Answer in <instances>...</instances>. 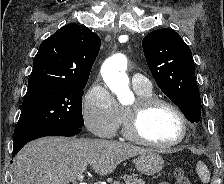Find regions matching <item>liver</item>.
<instances>
[{
  "instance_id": "obj_1",
  "label": "liver",
  "mask_w": 224,
  "mask_h": 184,
  "mask_svg": "<svg viewBox=\"0 0 224 184\" xmlns=\"http://www.w3.org/2000/svg\"><path fill=\"white\" fill-rule=\"evenodd\" d=\"M149 149L106 139L43 137L25 145L13 160V184H69L88 165L106 176L126 159Z\"/></svg>"
}]
</instances>
